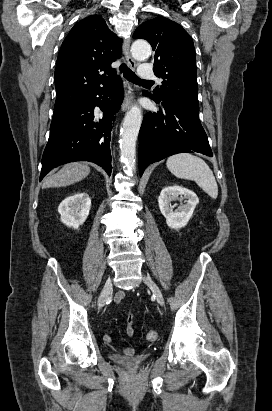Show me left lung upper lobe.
Here are the masks:
<instances>
[{
  "instance_id": "1",
  "label": "left lung upper lobe",
  "mask_w": 272,
  "mask_h": 411,
  "mask_svg": "<svg viewBox=\"0 0 272 411\" xmlns=\"http://www.w3.org/2000/svg\"><path fill=\"white\" fill-rule=\"evenodd\" d=\"M133 38L151 44L154 73L163 79L160 87L147 94L199 111L196 57L190 35L179 24L158 16L140 25Z\"/></svg>"
}]
</instances>
